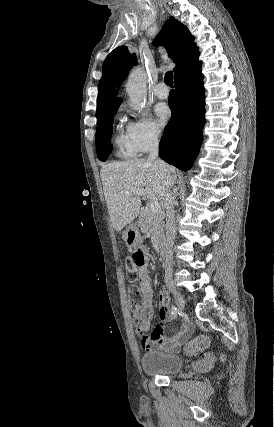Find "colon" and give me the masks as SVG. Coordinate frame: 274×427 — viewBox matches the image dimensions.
I'll return each mask as SVG.
<instances>
[{
  "instance_id": "1",
  "label": "colon",
  "mask_w": 274,
  "mask_h": 427,
  "mask_svg": "<svg viewBox=\"0 0 274 427\" xmlns=\"http://www.w3.org/2000/svg\"><path fill=\"white\" fill-rule=\"evenodd\" d=\"M146 261V255L141 249L131 252L126 265L127 274L130 275L132 285L129 287V306L138 307L142 303V291L135 284V272ZM210 345V337L207 334H199L184 345V354L192 356L207 349Z\"/></svg>"
}]
</instances>
